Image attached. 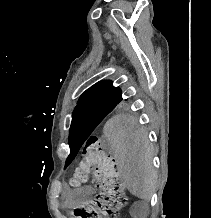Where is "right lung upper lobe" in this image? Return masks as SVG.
Masks as SVG:
<instances>
[{
	"label": "right lung upper lobe",
	"mask_w": 211,
	"mask_h": 218,
	"mask_svg": "<svg viewBox=\"0 0 211 218\" xmlns=\"http://www.w3.org/2000/svg\"><path fill=\"white\" fill-rule=\"evenodd\" d=\"M122 100L121 91L112 85L111 81H101L85 91L78 101L79 104L96 101Z\"/></svg>",
	"instance_id": "obj_1"
}]
</instances>
